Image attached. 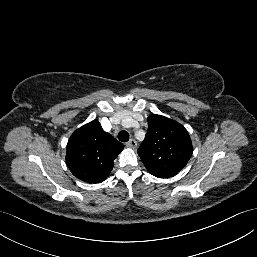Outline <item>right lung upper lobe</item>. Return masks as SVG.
Returning <instances> with one entry per match:
<instances>
[{
    "label": "right lung upper lobe",
    "instance_id": "right-lung-upper-lobe-1",
    "mask_svg": "<svg viewBox=\"0 0 257 257\" xmlns=\"http://www.w3.org/2000/svg\"><path fill=\"white\" fill-rule=\"evenodd\" d=\"M124 145L105 132L97 120L79 129L67 143L66 163L73 175L88 183L104 181Z\"/></svg>",
    "mask_w": 257,
    "mask_h": 257
}]
</instances>
